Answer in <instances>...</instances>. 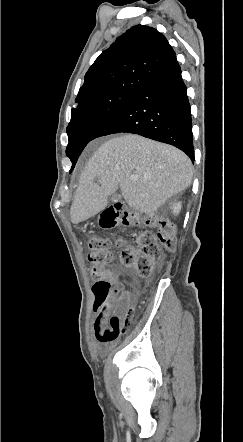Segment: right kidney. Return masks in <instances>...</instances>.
<instances>
[{"mask_svg": "<svg viewBox=\"0 0 243 442\" xmlns=\"http://www.w3.org/2000/svg\"><path fill=\"white\" fill-rule=\"evenodd\" d=\"M181 202H178V203H176V202H174L173 204H172V210H173V213L174 214H178L179 212H180V210H181Z\"/></svg>", "mask_w": 243, "mask_h": 442, "instance_id": "right-kidney-1", "label": "right kidney"}]
</instances>
